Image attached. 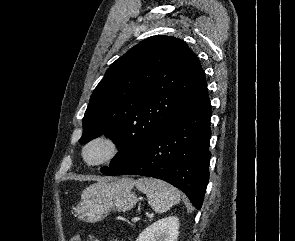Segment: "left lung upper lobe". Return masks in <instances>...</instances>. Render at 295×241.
<instances>
[{"label":"left lung upper lobe","mask_w":295,"mask_h":241,"mask_svg":"<svg viewBox=\"0 0 295 241\" xmlns=\"http://www.w3.org/2000/svg\"><path fill=\"white\" fill-rule=\"evenodd\" d=\"M208 97L197 56L180 39L149 37L118 58L93 91L80 143L105 135L118 147L108 174L158 131Z\"/></svg>","instance_id":"5c2ea615"}]
</instances>
